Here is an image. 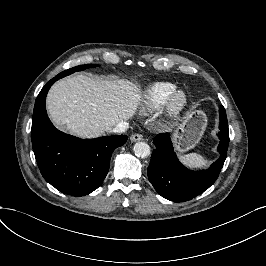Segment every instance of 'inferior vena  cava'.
Listing matches in <instances>:
<instances>
[{"label":"inferior vena cava","instance_id":"obj_1","mask_svg":"<svg viewBox=\"0 0 266 266\" xmlns=\"http://www.w3.org/2000/svg\"><path fill=\"white\" fill-rule=\"evenodd\" d=\"M129 130V123L126 121H121L117 123L115 126H113L109 132L115 133V134H125Z\"/></svg>","mask_w":266,"mask_h":266}]
</instances>
